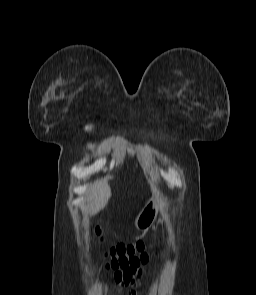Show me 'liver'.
I'll return each instance as SVG.
<instances>
[{
    "label": "liver",
    "instance_id": "obj_1",
    "mask_svg": "<svg viewBox=\"0 0 256 295\" xmlns=\"http://www.w3.org/2000/svg\"><path fill=\"white\" fill-rule=\"evenodd\" d=\"M110 196L111 190L106 180L95 182L86 192V203L82 210L89 215H95L106 206Z\"/></svg>",
    "mask_w": 256,
    "mask_h": 295
}]
</instances>
